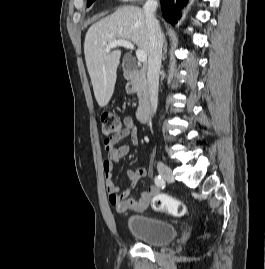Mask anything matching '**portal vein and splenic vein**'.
Listing matches in <instances>:
<instances>
[{"label":"portal vein and splenic vein","mask_w":265,"mask_h":269,"mask_svg":"<svg viewBox=\"0 0 265 269\" xmlns=\"http://www.w3.org/2000/svg\"><path fill=\"white\" fill-rule=\"evenodd\" d=\"M118 46L126 47L128 49L134 50V45L130 41L123 40V39H117L112 42H110L108 45H106V53H109L112 48H116ZM136 57L139 62H145L147 60V54L145 51L141 49L136 50Z\"/></svg>","instance_id":"1"}]
</instances>
